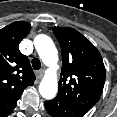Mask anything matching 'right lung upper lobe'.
Instances as JSON below:
<instances>
[{"mask_svg": "<svg viewBox=\"0 0 117 117\" xmlns=\"http://www.w3.org/2000/svg\"><path fill=\"white\" fill-rule=\"evenodd\" d=\"M30 29L29 23L17 21L0 30V117L10 114L23 90L34 84L29 59L19 50Z\"/></svg>", "mask_w": 117, "mask_h": 117, "instance_id": "obj_1", "label": "right lung upper lobe"}]
</instances>
